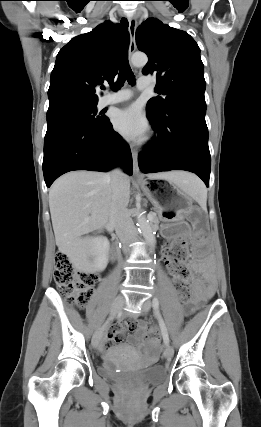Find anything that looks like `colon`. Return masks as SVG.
<instances>
[{
  "mask_svg": "<svg viewBox=\"0 0 261 427\" xmlns=\"http://www.w3.org/2000/svg\"><path fill=\"white\" fill-rule=\"evenodd\" d=\"M187 253L186 241H174L165 251L168 269L183 302H187L190 297L189 285L192 280V274L186 266ZM54 280L59 291L68 298L69 302L84 307L92 296L93 286L96 284L98 276L79 270L67 254L58 252L55 257ZM139 330L148 339L157 337L156 330L148 328L144 323H141Z\"/></svg>",
  "mask_w": 261,
  "mask_h": 427,
  "instance_id": "1",
  "label": "colon"
}]
</instances>
